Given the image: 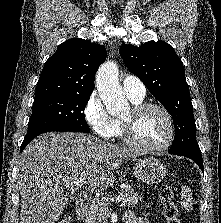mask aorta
Returning a JSON list of instances; mask_svg holds the SVG:
<instances>
[{"mask_svg":"<svg viewBox=\"0 0 221 223\" xmlns=\"http://www.w3.org/2000/svg\"><path fill=\"white\" fill-rule=\"evenodd\" d=\"M118 66L113 61L103 63L95 78L96 87L106 110L111 115H120L129 109L122 87L119 84Z\"/></svg>","mask_w":221,"mask_h":223,"instance_id":"aorta-1","label":"aorta"}]
</instances>
